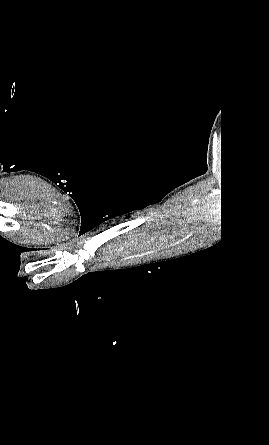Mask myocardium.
<instances>
[{"label":"myocardium","instance_id":"f54148a6","mask_svg":"<svg viewBox=\"0 0 269 445\" xmlns=\"http://www.w3.org/2000/svg\"><path fill=\"white\" fill-rule=\"evenodd\" d=\"M60 240V238H48V239H40V240H36L35 242H37V243H41V244H46V243H51V242H54V241H59Z\"/></svg>","mask_w":269,"mask_h":445}]
</instances>
